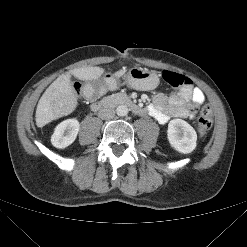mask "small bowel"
I'll use <instances>...</instances> for the list:
<instances>
[{"label":"small bowel","instance_id":"obj_1","mask_svg":"<svg viewBox=\"0 0 247 247\" xmlns=\"http://www.w3.org/2000/svg\"><path fill=\"white\" fill-rule=\"evenodd\" d=\"M90 89L86 94L90 95ZM205 100L204 94L197 88L184 87L178 92L169 96L156 94L153 98V104L146 108V112L152 116L158 123L166 124L171 118H193L195 111L187 108V104L192 102L195 106H200Z\"/></svg>","mask_w":247,"mask_h":247}]
</instances>
